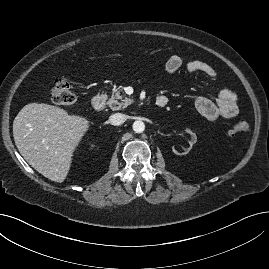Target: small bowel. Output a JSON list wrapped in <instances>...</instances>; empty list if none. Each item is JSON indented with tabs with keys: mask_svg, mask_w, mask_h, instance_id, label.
Returning a JSON list of instances; mask_svg holds the SVG:
<instances>
[{
	"mask_svg": "<svg viewBox=\"0 0 269 269\" xmlns=\"http://www.w3.org/2000/svg\"><path fill=\"white\" fill-rule=\"evenodd\" d=\"M182 64L181 57L172 55L166 60L165 68L168 73L175 74ZM186 69L189 73L200 72L210 78L216 77L215 69L204 61L191 60L186 64ZM195 108L208 120L232 119L238 114V98L233 91L223 89L218 92L215 101L203 96L196 98Z\"/></svg>",
	"mask_w": 269,
	"mask_h": 269,
	"instance_id": "c3829d8e",
	"label": "small bowel"
}]
</instances>
